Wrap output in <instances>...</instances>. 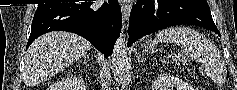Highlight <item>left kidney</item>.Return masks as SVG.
Wrapping results in <instances>:
<instances>
[{"instance_id": "1", "label": "left kidney", "mask_w": 237, "mask_h": 90, "mask_svg": "<svg viewBox=\"0 0 237 90\" xmlns=\"http://www.w3.org/2000/svg\"><path fill=\"white\" fill-rule=\"evenodd\" d=\"M152 90H193V88L187 82L176 78V76L161 74V76L155 78L152 84Z\"/></svg>"}]
</instances>
